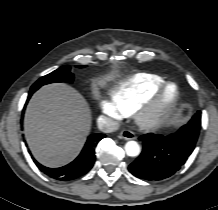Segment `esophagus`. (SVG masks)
<instances>
[{
    "mask_svg": "<svg viewBox=\"0 0 218 210\" xmlns=\"http://www.w3.org/2000/svg\"><path fill=\"white\" fill-rule=\"evenodd\" d=\"M119 138L124 140H132L135 139V134L130 130H123L120 132Z\"/></svg>",
    "mask_w": 218,
    "mask_h": 210,
    "instance_id": "obj_1",
    "label": "esophagus"
}]
</instances>
